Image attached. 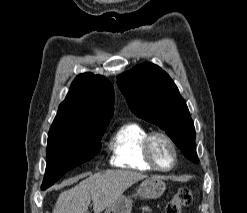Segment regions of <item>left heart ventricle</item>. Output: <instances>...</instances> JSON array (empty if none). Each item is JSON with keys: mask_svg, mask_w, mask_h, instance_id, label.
I'll return each instance as SVG.
<instances>
[{"mask_svg": "<svg viewBox=\"0 0 247 213\" xmlns=\"http://www.w3.org/2000/svg\"><path fill=\"white\" fill-rule=\"evenodd\" d=\"M153 153L157 162L162 167H169L172 164L173 153L169 144L161 138H157L153 143Z\"/></svg>", "mask_w": 247, "mask_h": 213, "instance_id": "left-heart-ventricle-1", "label": "left heart ventricle"}]
</instances>
